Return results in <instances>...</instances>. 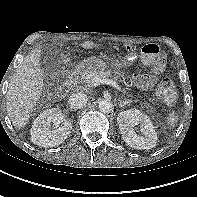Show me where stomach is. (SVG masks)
Masks as SVG:
<instances>
[{
    "mask_svg": "<svg viewBox=\"0 0 197 197\" xmlns=\"http://www.w3.org/2000/svg\"><path fill=\"white\" fill-rule=\"evenodd\" d=\"M136 60H137L136 54L131 52L128 55H126L124 58H122L121 60L113 61L112 66L117 69H120L123 67H129ZM83 65L86 67L87 70H103L106 68V63L97 57H91V58L84 60Z\"/></svg>",
    "mask_w": 197,
    "mask_h": 197,
    "instance_id": "stomach-1",
    "label": "stomach"
}]
</instances>
